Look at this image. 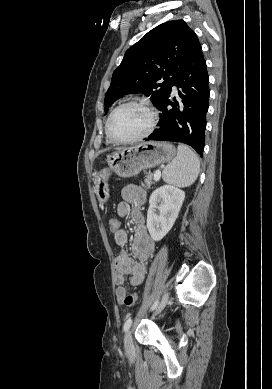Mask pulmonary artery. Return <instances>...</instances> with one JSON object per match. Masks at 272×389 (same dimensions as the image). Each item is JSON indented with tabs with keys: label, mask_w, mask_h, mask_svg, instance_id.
<instances>
[{
	"label": "pulmonary artery",
	"mask_w": 272,
	"mask_h": 389,
	"mask_svg": "<svg viewBox=\"0 0 272 389\" xmlns=\"http://www.w3.org/2000/svg\"><path fill=\"white\" fill-rule=\"evenodd\" d=\"M173 91H176V87L175 86L173 87Z\"/></svg>",
	"instance_id": "pulmonary-artery-1"
}]
</instances>
